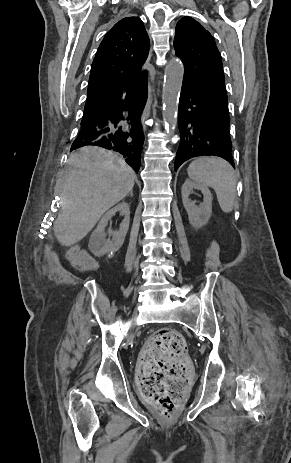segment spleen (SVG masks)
Segmentation results:
<instances>
[{
    "mask_svg": "<svg viewBox=\"0 0 291 463\" xmlns=\"http://www.w3.org/2000/svg\"><path fill=\"white\" fill-rule=\"evenodd\" d=\"M187 172L191 180L214 189L223 212H232L236 198V178L228 162L202 157L191 162Z\"/></svg>",
    "mask_w": 291,
    "mask_h": 463,
    "instance_id": "spleen-1",
    "label": "spleen"
}]
</instances>
